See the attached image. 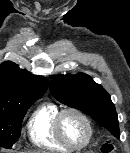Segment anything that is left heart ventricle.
<instances>
[{"mask_svg": "<svg viewBox=\"0 0 130 153\" xmlns=\"http://www.w3.org/2000/svg\"><path fill=\"white\" fill-rule=\"evenodd\" d=\"M62 132L65 138L74 145L85 142L88 129L85 122L76 114L67 113L62 119Z\"/></svg>", "mask_w": 130, "mask_h": 153, "instance_id": "1", "label": "left heart ventricle"}]
</instances>
